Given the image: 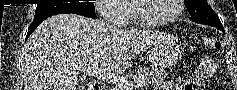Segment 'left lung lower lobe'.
Returning a JSON list of instances; mask_svg holds the SVG:
<instances>
[{
	"label": "left lung lower lobe",
	"mask_w": 237,
	"mask_h": 90,
	"mask_svg": "<svg viewBox=\"0 0 237 90\" xmlns=\"http://www.w3.org/2000/svg\"><path fill=\"white\" fill-rule=\"evenodd\" d=\"M219 30H221L222 32H224V29H219ZM225 33V32H224Z\"/></svg>",
	"instance_id": "left-lung-lower-lobe-1"
}]
</instances>
